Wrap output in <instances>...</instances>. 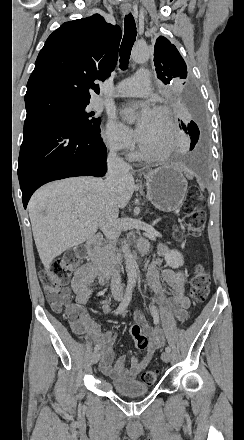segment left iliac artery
<instances>
[{"instance_id": "1", "label": "left iliac artery", "mask_w": 244, "mask_h": 440, "mask_svg": "<svg viewBox=\"0 0 244 440\" xmlns=\"http://www.w3.org/2000/svg\"><path fill=\"white\" fill-rule=\"evenodd\" d=\"M151 312H152L154 323L158 324L159 323V313H158V310H157L156 306H154V305L151 306ZM165 351L171 352V348L169 346H167L165 348Z\"/></svg>"}]
</instances>
